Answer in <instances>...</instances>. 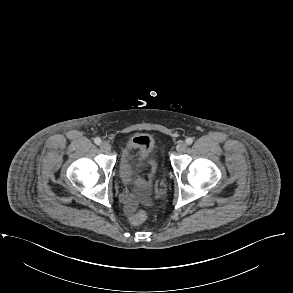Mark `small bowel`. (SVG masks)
<instances>
[{"label": "small bowel", "instance_id": "1", "mask_svg": "<svg viewBox=\"0 0 293 293\" xmlns=\"http://www.w3.org/2000/svg\"><path fill=\"white\" fill-rule=\"evenodd\" d=\"M131 143L134 145H140V146H149L150 140L148 137L144 135H136L132 138ZM143 182L137 183L138 187H143ZM121 201L124 205V210L128 215H132L135 211L137 200L133 193L125 191L121 193Z\"/></svg>", "mask_w": 293, "mask_h": 293}]
</instances>
